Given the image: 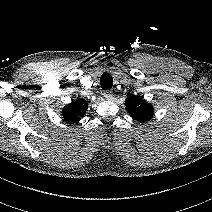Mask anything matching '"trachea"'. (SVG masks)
Listing matches in <instances>:
<instances>
[{"label":"trachea","mask_w":212,"mask_h":212,"mask_svg":"<svg viewBox=\"0 0 212 212\" xmlns=\"http://www.w3.org/2000/svg\"><path fill=\"white\" fill-rule=\"evenodd\" d=\"M100 84L102 89L110 90L113 85V78L109 73H104L100 78Z\"/></svg>","instance_id":"obj_1"}]
</instances>
